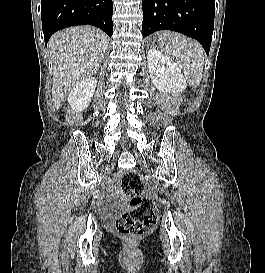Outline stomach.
<instances>
[{
    "label": "stomach",
    "instance_id": "stomach-1",
    "mask_svg": "<svg viewBox=\"0 0 265 273\" xmlns=\"http://www.w3.org/2000/svg\"><path fill=\"white\" fill-rule=\"evenodd\" d=\"M148 45H167V40H148Z\"/></svg>",
    "mask_w": 265,
    "mask_h": 273
}]
</instances>
